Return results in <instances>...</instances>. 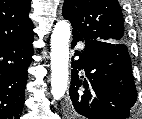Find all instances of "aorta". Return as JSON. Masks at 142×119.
Listing matches in <instances>:
<instances>
[{"mask_svg": "<svg viewBox=\"0 0 142 119\" xmlns=\"http://www.w3.org/2000/svg\"><path fill=\"white\" fill-rule=\"evenodd\" d=\"M70 36L68 22L55 24L51 35V93L55 100H60L67 89Z\"/></svg>", "mask_w": 142, "mask_h": 119, "instance_id": "aorta-1", "label": "aorta"}]
</instances>
